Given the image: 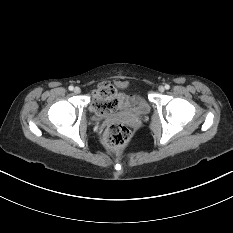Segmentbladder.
<instances>
[{"label": "bladder", "instance_id": "bladder-1", "mask_svg": "<svg viewBox=\"0 0 233 233\" xmlns=\"http://www.w3.org/2000/svg\"><path fill=\"white\" fill-rule=\"evenodd\" d=\"M118 88L124 90L128 87L126 82H119ZM122 110L129 114L146 115L149 112L148 102L137 92L125 97Z\"/></svg>", "mask_w": 233, "mask_h": 233}]
</instances>
